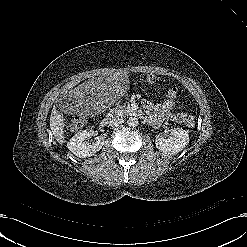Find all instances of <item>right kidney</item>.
Here are the masks:
<instances>
[{"label": "right kidney", "instance_id": "right-kidney-1", "mask_svg": "<svg viewBox=\"0 0 247 247\" xmlns=\"http://www.w3.org/2000/svg\"><path fill=\"white\" fill-rule=\"evenodd\" d=\"M94 135L93 130H84L74 135L67 143L68 149L77 157L86 158L95 155L102 148L103 142L96 140L89 143L86 140Z\"/></svg>", "mask_w": 247, "mask_h": 247}]
</instances>
